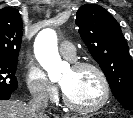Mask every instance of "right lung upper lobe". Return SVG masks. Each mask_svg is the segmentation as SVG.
Instances as JSON below:
<instances>
[{"mask_svg": "<svg viewBox=\"0 0 133 118\" xmlns=\"http://www.w3.org/2000/svg\"><path fill=\"white\" fill-rule=\"evenodd\" d=\"M22 41V18L12 7L0 10V58L16 59Z\"/></svg>", "mask_w": 133, "mask_h": 118, "instance_id": "cb5924a9", "label": "right lung upper lobe"}]
</instances>
